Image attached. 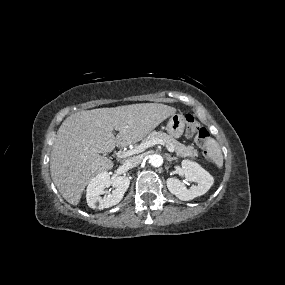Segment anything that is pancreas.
I'll return each instance as SVG.
<instances>
[{"mask_svg": "<svg viewBox=\"0 0 285 285\" xmlns=\"http://www.w3.org/2000/svg\"><path fill=\"white\" fill-rule=\"evenodd\" d=\"M155 139H161L169 146H171L176 154L180 157H190L195 159L198 157V151L194 149L193 146H185L182 143L178 142L170 135L162 132V131H152L149 135L143 140V143L149 142Z\"/></svg>", "mask_w": 285, "mask_h": 285, "instance_id": "1", "label": "pancreas"}]
</instances>
